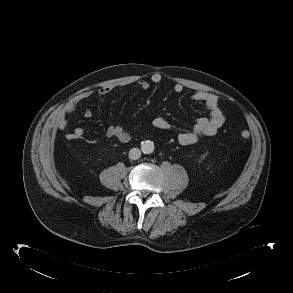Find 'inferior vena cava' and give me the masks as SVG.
<instances>
[{"instance_id": "1", "label": "inferior vena cava", "mask_w": 293, "mask_h": 293, "mask_svg": "<svg viewBox=\"0 0 293 293\" xmlns=\"http://www.w3.org/2000/svg\"><path fill=\"white\" fill-rule=\"evenodd\" d=\"M141 156V151L138 148H132L129 151V158L132 160H137Z\"/></svg>"}]
</instances>
